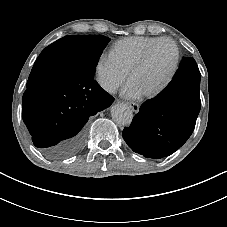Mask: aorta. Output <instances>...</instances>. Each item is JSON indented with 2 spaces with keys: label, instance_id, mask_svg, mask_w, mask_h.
I'll list each match as a JSON object with an SVG mask.
<instances>
[{
  "label": "aorta",
  "instance_id": "1",
  "mask_svg": "<svg viewBox=\"0 0 227 227\" xmlns=\"http://www.w3.org/2000/svg\"><path fill=\"white\" fill-rule=\"evenodd\" d=\"M112 119L119 125H128L132 122L133 113L126 104H116L111 108Z\"/></svg>",
  "mask_w": 227,
  "mask_h": 227
}]
</instances>
